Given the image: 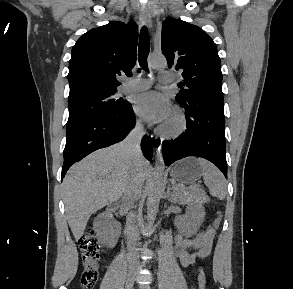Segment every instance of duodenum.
<instances>
[{
	"mask_svg": "<svg viewBox=\"0 0 293 289\" xmlns=\"http://www.w3.org/2000/svg\"><path fill=\"white\" fill-rule=\"evenodd\" d=\"M111 211H113V212H117V211H118V207H117V206H113V207H111Z\"/></svg>",
	"mask_w": 293,
	"mask_h": 289,
	"instance_id": "410a0bca",
	"label": "duodenum"
}]
</instances>
